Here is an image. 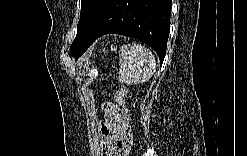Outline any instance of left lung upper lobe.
I'll use <instances>...</instances> for the list:
<instances>
[{"label": "left lung upper lobe", "mask_w": 247, "mask_h": 156, "mask_svg": "<svg viewBox=\"0 0 247 156\" xmlns=\"http://www.w3.org/2000/svg\"><path fill=\"white\" fill-rule=\"evenodd\" d=\"M107 0H81V15L77 25V35L70 47L75 58L81 56L85 47L86 33Z\"/></svg>", "instance_id": "5c2ea615"}]
</instances>
